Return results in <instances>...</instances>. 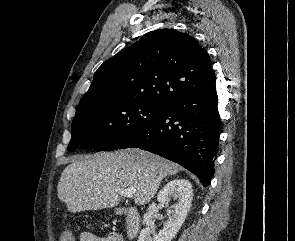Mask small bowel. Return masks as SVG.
Instances as JSON below:
<instances>
[{
    "instance_id": "1",
    "label": "small bowel",
    "mask_w": 295,
    "mask_h": 241,
    "mask_svg": "<svg viewBox=\"0 0 295 241\" xmlns=\"http://www.w3.org/2000/svg\"><path fill=\"white\" fill-rule=\"evenodd\" d=\"M80 241H121L119 236L109 234L107 236H100L91 232H83L80 236Z\"/></svg>"
}]
</instances>
